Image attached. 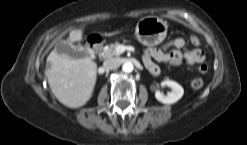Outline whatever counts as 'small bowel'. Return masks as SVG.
Instances as JSON below:
<instances>
[{
	"label": "small bowel",
	"instance_id": "obj_1",
	"mask_svg": "<svg viewBox=\"0 0 247 145\" xmlns=\"http://www.w3.org/2000/svg\"><path fill=\"white\" fill-rule=\"evenodd\" d=\"M189 44L198 46L200 40L196 35H191L188 39L178 37L170 40L160 48H149L144 53V64L153 75L159 74V67L155 63L164 62L172 65L186 63L188 65L202 64L205 61V53L200 49H191L182 51ZM173 48L171 51H166Z\"/></svg>",
	"mask_w": 247,
	"mask_h": 145
}]
</instances>
